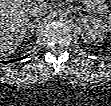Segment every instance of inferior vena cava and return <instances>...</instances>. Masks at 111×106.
Instances as JSON below:
<instances>
[{"label":"inferior vena cava","mask_w":111,"mask_h":106,"mask_svg":"<svg viewBox=\"0 0 111 106\" xmlns=\"http://www.w3.org/2000/svg\"><path fill=\"white\" fill-rule=\"evenodd\" d=\"M47 6L45 2L35 1L30 9V15L36 18H41L47 14Z\"/></svg>","instance_id":"obj_1"}]
</instances>
